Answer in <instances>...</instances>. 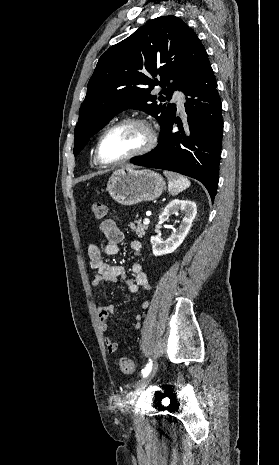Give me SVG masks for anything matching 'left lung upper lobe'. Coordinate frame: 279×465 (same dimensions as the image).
<instances>
[{
	"label": "left lung upper lobe",
	"instance_id": "left-lung-upper-lobe-1",
	"mask_svg": "<svg viewBox=\"0 0 279 465\" xmlns=\"http://www.w3.org/2000/svg\"><path fill=\"white\" fill-rule=\"evenodd\" d=\"M206 53L195 32L175 16L150 20L110 47L99 59L75 127L74 155L99 129L127 108L140 109L161 123V137L175 119V90L183 91ZM157 78L160 79L158 81ZM160 85L159 97L151 94Z\"/></svg>",
	"mask_w": 279,
	"mask_h": 465
}]
</instances>
